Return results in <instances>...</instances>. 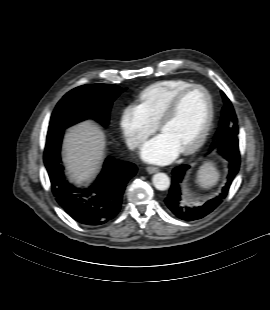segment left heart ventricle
<instances>
[{"label": "left heart ventricle", "instance_id": "obj_1", "mask_svg": "<svg viewBox=\"0 0 270 310\" xmlns=\"http://www.w3.org/2000/svg\"><path fill=\"white\" fill-rule=\"evenodd\" d=\"M207 97L201 90L187 93L174 116L161 128V133L182 151L201 134L207 117Z\"/></svg>", "mask_w": 270, "mask_h": 310}]
</instances>
